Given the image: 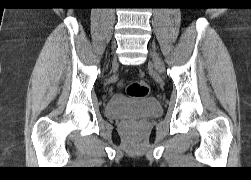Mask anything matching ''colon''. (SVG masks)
<instances>
[{"mask_svg": "<svg viewBox=\"0 0 251 180\" xmlns=\"http://www.w3.org/2000/svg\"><path fill=\"white\" fill-rule=\"evenodd\" d=\"M127 93L132 97L143 98L150 93V86L145 81H133L128 85Z\"/></svg>", "mask_w": 251, "mask_h": 180, "instance_id": "1", "label": "colon"}]
</instances>
